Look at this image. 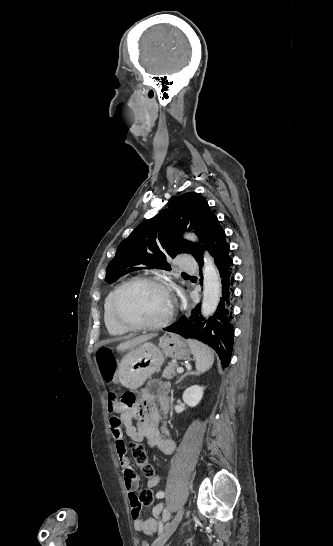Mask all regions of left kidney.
I'll use <instances>...</instances> for the list:
<instances>
[{"label":"left kidney","instance_id":"obj_1","mask_svg":"<svg viewBox=\"0 0 333 546\" xmlns=\"http://www.w3.org/2000/svg\"><path fill=\"white\" fill-rule=\"evenodd\" d=\"M204 387L191 386L183 393V401L190 407H195L202 399Z\"/></svg>","mask_w":333,"mask_h":546}]
</instances>
